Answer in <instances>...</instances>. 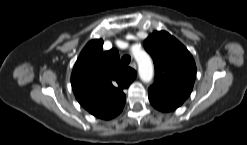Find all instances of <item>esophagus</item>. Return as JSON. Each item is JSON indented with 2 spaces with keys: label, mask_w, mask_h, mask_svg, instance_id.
I'll use <instances>...</instances> for the list:
<instances>
[{
  "label": "esophagus",
  "mask_w": 247,
  "mask_h": 145,
  "mask_svg": "<svg viewBox=\"0 0 247 145\" xmlns=\"http://www.w3.org/2000/svg\"><path fill=\"white\" fill-rule=\"evenodd\" d=\"M130 66L133 68V69H137V64L135 61H133Z\"/></svg>",
  "instance_id": "34e87169"
}]
</instances>
